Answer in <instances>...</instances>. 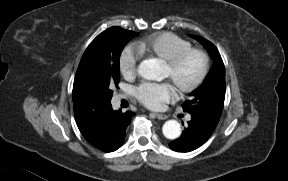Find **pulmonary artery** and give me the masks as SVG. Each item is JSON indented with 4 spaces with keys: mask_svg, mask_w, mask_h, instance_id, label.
I'll list each match as a JSON object with an SVG mask.
<instances>
[{
    "mask_svg": "<svg viewBox=\"0 0 288 181\" xmlns=\"http://www.w3.org/2000/svg\"><path fill=\"white\" fill-rule=\"evenodd\" d=\"M116 101H118L119 100V98L118 97H116V99H115ZM188 119H190V117H188Z\"/></svg>",
    "mask_w": 288,
    "mask_h": 181,
    "instance_id": "obj_1",
    "label": "pulmonary artery"
}]
</instances>
